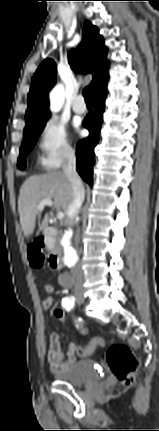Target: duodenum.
I'll use <instances>...</instances> for the list:
<instances>
[{
  "mask_svg": "<svg viewBox=\"0 0 159 431\" xmlns=\"http://www.w3.org/2000/svg\"><path fill=\"white\" fill-rule=\"evenodd\" d=\"M57 235V231L53 227H46L43 229L40 239L43 242H49L53 238H55ZM49 265L51 269L58 270L62 267V261H61V252L58 249H55L49 258Z\"/></svg>",
  "mask_w": 159,
  "mask_h": 431,
  "instance_id": "1",
  "label": "duodenum"
}]
</instances>
